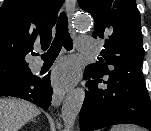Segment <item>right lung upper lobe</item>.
I'll return each mask as SVG.
<instances>
[{
	"label": "right lung upper lobe",
	"mask_w": 151,
	"mask_h": 131,
	"mask_svg": "<svg viewBox=\"0 0 151 131\" xmlns=\"http://www.w3.org/2000/svg\"><path fill=\"white\" fill-rule=\"evenodd\" d=\"M64 0H5L0 8V83L30 76L25 56L35 43L49 46Z\"/></svg>",
	"instance_id": "obj_1"
}]
</instances>
